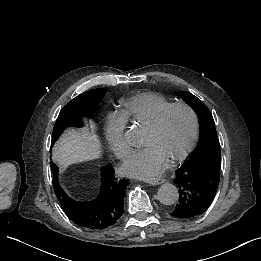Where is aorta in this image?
Segmentation results:
<instances>
[{
    "mask_svg": "<svg viewBox=\"0 0 261 261\" xmlns=\"http://www.w3.org/2000/svg\"><path fill=\"white\" fill-rule=\"evenodd\" d=\"M125 138L132 146H137L141 141V131L138 128H131L125 133ZM179 199V192L175 185L165 183L158 189V200L163 205H173Z\"/></svg>",
    "mask_w": 261,
    "mask_h": 261,
    "instance_id": "obj_1",
    "label": "aorta"
}]
</instances>
